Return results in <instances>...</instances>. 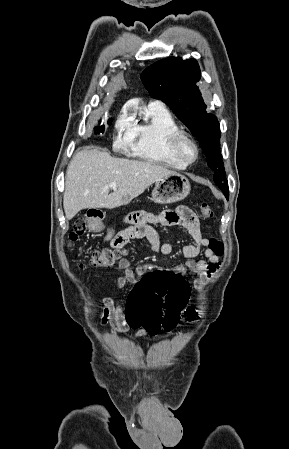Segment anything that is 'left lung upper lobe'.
I'll use <instances>...</instances> for the list:
<instances>
[{
	"label": "left lung upper lobe",
	"mask_w": 289,
	"mask_h": 449,
	"mask_svg": "<svg viewBox=\"0 0 289 449\" xmlns=\"http://www.w3.org/2000/svg\"><path fill=\"white\" fill-rule=\"evenodd\" d=\"M200 68L195 59L171 57L160 60L141 74V79L152 97L162 100L197 137L214 170V181L229 193L228 181L220 153V125L217 117L206 112L199 88Z\"/></svg>",
	"instance_id": "left-lung-upper-lobe-1"
}]
</instances>
